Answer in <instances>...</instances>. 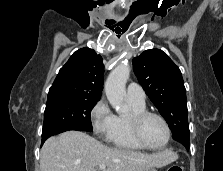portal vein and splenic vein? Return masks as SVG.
I'll list each match as a JSON object with an SVG mask.
<instances>
[{"label": "portal vein and splenic vein", "instance_id": "portal-vein-and-splenic-vein-1", "mask_svg": "<svg viewBox=\"0 0 223 171\" xmlns=\"http://www.w3.org/2000/svg\"><path fill=\"white\" fill-rule=\"evenodd\" d=\"M99 168H100L101 170H103V169L106 168V165H105V164H100V165H99Z\"/></svg>", "mask_w": 223, "mask_h": 171}]
</instances>
